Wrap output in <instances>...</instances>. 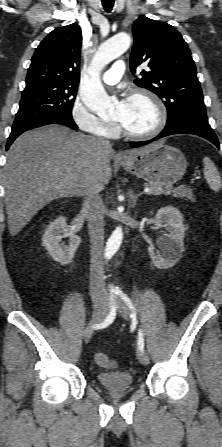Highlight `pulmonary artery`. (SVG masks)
Instances as JSON below:
<instances>
[{"label": "pulmonary artery", "mask_w": 222, "mask_h": 447, "mask_svg": "<svg viewBox=\"0 0 222 447\" xmlns=\"http://www.w3.org/2000/svg\"><path fill=\"white\" fill-rule=\"evenodd\" d=\"M125 72V63L123 61H118L114 63L112 69L107 71L103 75V81L107 85H114L118 83Z\"/></svg>", "instance_id": "e3ab8cb5"}]
</instances>
